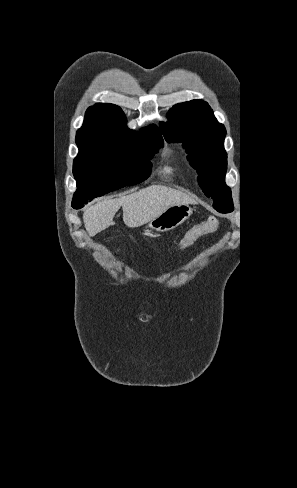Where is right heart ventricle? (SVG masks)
I'll list each match as a JSON object with an SVG mask.
<instances>
[{
	"mask_svg": "<svg viewBox=\"0 0 297 488\" xmlns=\"http://www.w3.org/2000/svg\"><path fill=\"white\" fill-rule=\"evenodd\" d=\"M173 171H174V168L171 167V166H165L163 168V172L166 173V174H171Z\"/></svg>",
	"mask_w": 297,
	"mask_h": 488,
	"instance_id": "e07e8e85",
	"label": "right heart ventricle"
}]
</instances>
